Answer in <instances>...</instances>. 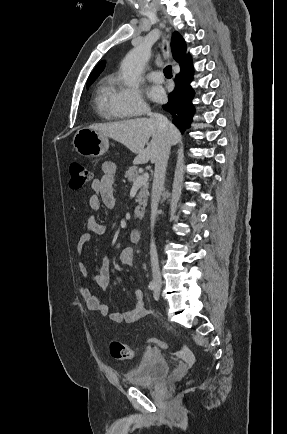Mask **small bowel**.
Segmentation results:
<instances>
[{
  "label": "small bowel",
  "mask_w": 287,
  "mask_h": 434,
  "mask_svg": "<svg viewBox=\"0 0 287 434\" xmlns=\"http://www.w3.org/2000/svg\"><path fill=\"white\" fill-rule=\"evenodd\" d=\"M102 175L94 178L91 182V188L94 191L89 197V207L93 211H98L102 207L113 208L115 206L114 184L116 178V165L112 161H106L102 164ZM107 226L98 222L95 217H89L85 223V232L78 239L76 248L82 253L89 244L93 234L105 236ZM119 262L126 267L134 263V251L131 247L123 248L119 253ZM79 290L84 298L87 307L93 312L101 313L107 316L114 323H135L146 315L144 307L143 292L137 289L134 292V306L126 313H116L110 311L109 307L104 304L100 298L88 287V283H93L99 287H106L110 282V261L108 256H104L100 264L98 273L90 275L88 266L85 262L78 264ZM192 364L191 356L187 359V365Z\"/></svg>",
  "instance_id": "small-bowel-1"
}]
</instances>
